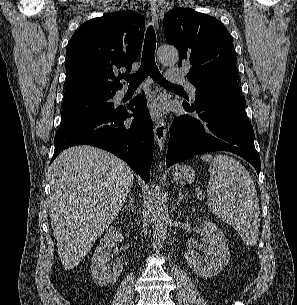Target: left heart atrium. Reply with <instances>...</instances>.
Segmentation results:
<instances>
[{
  "label": "left heart atrium",
  "instance_id": "left-heart-atrium-1",
  "mask_svg": "<svg viewBox=\"0 0 297 305\" xmlns=\"http://www.w3.org/2000/svg\"><path fill=\"white\" fill-rule=\"evenodd\" d=\"M148 111L154 117L159 116L161 114V112L163 111L162 102L159 100H155V101L151 102L148 105Z\"/></svg>",
  "mask_w": 297,
  "mask_h": 305
}]
</instances>
